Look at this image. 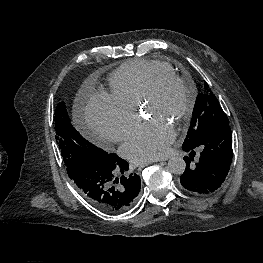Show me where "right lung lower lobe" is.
Wrapping results in <instances>:
<instances>
[{"label": "right lung lower lobe", "mask_w": 263, "mask_h": 263, "mask_svg": "<svg viewBox=\"0 0 263 263\" xmlns=\"http://www.w3.org/2000/svg\"><path fill=\"white\" fill-rule=\"evenodd\" d=\"M128 168L126 161L108 154L104 161L80 166L70 179L96 208L104 212H114L115 209L125 211L137 200L141 182L137 174H126Z\"/></svg>", "instance_id": "98d812e1"}]
</instances>
